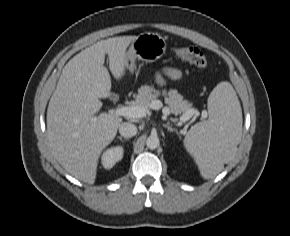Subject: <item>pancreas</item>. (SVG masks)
<instances>
[{"mask_svg":"<svg viewBox=\"0 0 290 236\" xmlns=\"http://www.w3.org/2000/svg\"><path fill=\"white\" fill-rule=\"evenodd\" d=\"M164 96L165 103L169 106L172 114H186L188 111L192 110V103L187 100H183V97L178 94L175 89H170L169 91L155 90L153 86L144 85L138 89V94L135 101L131 103L132 106H144L149 109V105L152 101L156 100L159 96ZM197 111V110H195Z\"/></svg>","mask_w":290,"mask_h":236,"instance_id":"1","label":"pancreas"}]
</instances>
